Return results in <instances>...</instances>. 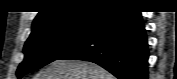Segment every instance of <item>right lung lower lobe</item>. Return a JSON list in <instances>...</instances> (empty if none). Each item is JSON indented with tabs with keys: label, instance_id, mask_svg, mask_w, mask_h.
Masks as SVG:
<instances>
[{
	"label": "right lung lower lobe",
	"instance_id": "right-lung-lower-lobe-1",
	"mask_svg": "<svg viewBox=\"0 0 177 79\" xmlns=\"http://www.w3.org/2000/svg\"><path fill=\"white\" fill-rule=\"evenodd\" d=\"M148 43L141 12L106 10L87 37L58 60L94 62L119 79H147Z\"/></svg>",
	"mask_w": 177,
	"mask_h": 79
}]
</instances>
